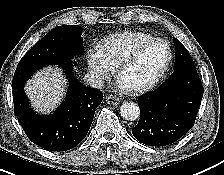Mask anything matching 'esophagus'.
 Instances as JSON below:
<instances>
[{"label": "esophagus", "mask_w": 224, "mask_h": 175, "mask_svg": "<svg viewBox=\"0 0 224 175\" xmlns=\"http://www.w3.org/2000/svg\"><path fill=\"white\" fill-rule=\"evenodd\" d=\"M106 101L108 104L115 105V106L120 103V100L114 96H108L106 98Z\"/></svg>", "instance_id": "esophagus-1"}]
</instances>
